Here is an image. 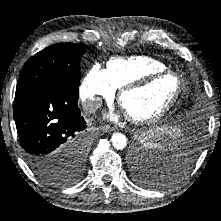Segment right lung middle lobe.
<instances>
[{
  "mask_svg": "<svg viewBox=\"0 0 221 221\" xmlns=\"http://www.w3.org/2000/svg\"><path fill=\"white\" fill-rule=\"evenodd\" d=\"M85 52L81 44L58 43L35 54L23 67L16 87L15 100L44 87H63L78 91L80 61ZM88 151L89 141L85 147L77 149L76 155L67 166L70 171H60L57 166H45L36 171V175L52 185L74 183L83 172Z\"/></svg>",
  "mask_w": 221,
  "mask_h": 221,
  "instance_id": "1",
  "label": "right lung middle lobe"
}]
</instances>
